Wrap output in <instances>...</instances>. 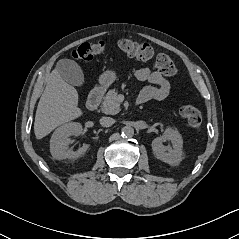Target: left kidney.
I'll list each match as a JSON object with an SVG mask.
<instances>
[{
	"label": "left kidney",
	"instance_id": "obj_1",
	"mask_svg": "<svg viewBox=\"0 0 239 239\" xmlns=\"http://www.w3.org/2000/svg\"><path fill=\"white\" fill-rule=\"evenodd\" d=\"M170 141L172 146H164L163 142ZM183 140L176 129L167 128L162 136L152 141L155 157L169 165H178L183 159Z\"/></svg>",
	"mask_w": 239,
	"mask_h": 239
}]
</instances>
